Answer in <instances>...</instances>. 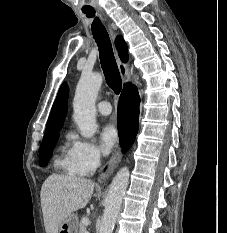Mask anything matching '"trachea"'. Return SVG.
<instances>
[{
    "mask_svg": "<svg viewBox=\"0 0 227 233\" xmlns=\"http://www.w3.org/2000/svg\"><path fill=\"white\" fill-rule=\"evenodd\" d=\"M84 13L88 18L95 15V11H88ZM91 30L93 37L99 47V57L101 60L106 83L115 92V94H119L122 88L120 72L114 57L109 35L98 17L94 19Z\"/></svg>",
    "mask_w": 227,
    "mask_h": 233,
    "instance_id": "obj_1",
    "label": "trachea"
}]
</instances>
